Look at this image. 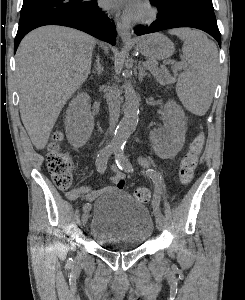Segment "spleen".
<instances>
[{"instance_id":"3e777b00","label":"spleen","mask_w":245,"mask_h":300,"mask_svg":"<svg viewBox=\"0 0 245 300\" xmlns=\"http://www.w3.org/2000/svg\"><path fill=\"white\" fill-rule=\"evenodd\" d=\"M169 33L184 41L182 52L190 64V68L179 76L177 95L186 109L202 116L212 102L218 66L217 47L196 30L174 29Z\"/></svg>"}]
</instances>
